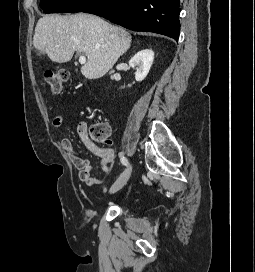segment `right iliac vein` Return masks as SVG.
Segmentation results:
<instances>
[{
  "label": "right iliac vein",
  "mask_w": 255,
  "mask_h": 272,
  "mask_svg": "<svg viewBox=\"0 0 255 272\" xmlns=\"http://www.w3.org/2000/svg\"><path fill=\"white\" fill-rule=\"evenodd\" d=\"M131 175V167H128L121 175L120 177L114 182L112 187L110 188L111 193H115L118 190H120L128 181L129 177Z\"/></svg>",
  "instance_id": "1"
}]
</instances>
